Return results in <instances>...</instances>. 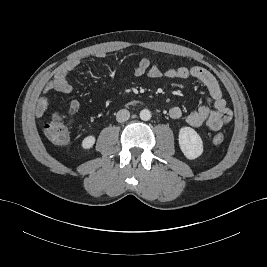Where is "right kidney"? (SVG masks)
Here are the masks:
<instances>
[{
  "label": "right kidney",
  "mask_w": 267,
  "mask_h": 267,
  "mask_svg": "<svg viewBox=\"0 0 267 267\" xmlns=\"http://www.w3.org/2000/svg\"><path fill=\"white\" fill-rule=\"evenodd\" d=\"M94 143H95V137L92 136V135H89V136H87V137H85L83 139V141H82V147L84 149H90V148L93 147Z\"/></svg>",
  "instance_id": "obj_1"
}]
</instances>
